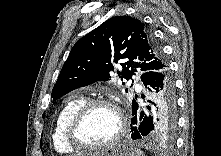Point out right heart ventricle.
<instances>
[{"label": "right heart ventricle", "mask_w": 221, "mask_h": 156, "mask_svg": "<svg viewBox=\"0 0 221 156\" xmlns=\"http://www.w3.org/2000/svg\"><path fill=\"white\" fill-rule=\"evenodd\" d=\"M85 98L78 96L69 99L56 116L53 130L52 143L54 149L61 154L72 153L75 148L70 146L65 138V128L71 115L85 102Z\"/></svg>", "instance_id": "right-heart-ventricle-1"}]
</instances>
